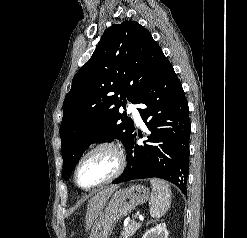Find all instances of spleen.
<instances>
[{"mask_svg": "<svg viewBox=\"0 0 247 238\" xmlns=\"http://www.w3.org/2000/svg\"><path fill=\"white\" fill-rule=\"evenodd\" d=\"M152 193L150 197V215L159 219L169 209L171 204V189L167 182L152 178L150 180Z\"/></svg>", "mask_w": 247, "mask_h": 238, "instance_id": "obj_1", "label": "spleen"}]
</instances>
